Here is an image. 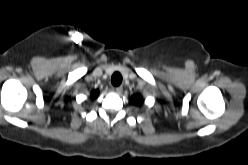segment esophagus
<instances>
[{
    "instance_id": "34e87169",
    "label": "esophagus",
    "mask_w": 248,
    "mask_h": 165,
    "mask_svg": "<svg viewBox=\"0 0 248 165\" xmlns=\"http://www.w3.org/2000/svg\"><path fill=\"white\" fill-rule=\"evenodd\" d=\"M114 91H115L117 94H121L122 91H123V87H122V86L116 87V88L114 89Z\"/></svg>"
}]
</instances>
